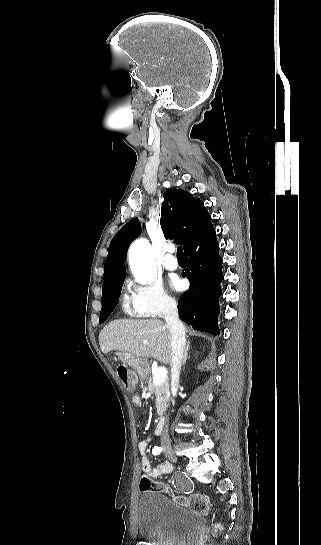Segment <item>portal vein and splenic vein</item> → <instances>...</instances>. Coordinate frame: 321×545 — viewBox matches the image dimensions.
<instances>
[{"mask_svg": "<svg viewBox=\"0 0 321 545\" xmlns=\"http://www.w3.org/2000/svg\"><path fill=\"white\" fill-rule=\"evenodd\" d=\"M167 377V371L165 369V367H159V369H157L154 377H153V383L154 385H161V383H163V381H165Z\"/></svg>", "mask_w": 321, "mask_h": 545, "instance_id": "portal-vein-and-splenic-vein-1", "label": "portal vein and splenic vein"}]
</instances>
